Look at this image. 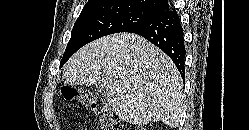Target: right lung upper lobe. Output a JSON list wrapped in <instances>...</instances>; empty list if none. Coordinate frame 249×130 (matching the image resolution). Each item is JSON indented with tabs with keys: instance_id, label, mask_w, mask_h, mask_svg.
<instances>
[{
	"instance_id": "1",
	"label": "right lung upper lobe",
	"mask_w": 249,
	"mask_h": 130,
	"mask_svg": "<svg viewBox=\"0 0 249 130\" xmlns=\"http://www.w3.org/2000/svg\"><path fill=\"white\" fill-rule=\"evenodd\" d=\"M107 2L136 6L144 10L156 12L159 16L170 11L167 0H88L86 5Z\"/></svg>"
}]
</instances>
